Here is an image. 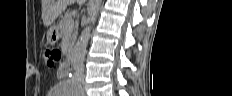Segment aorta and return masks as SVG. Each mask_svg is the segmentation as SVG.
Listing matches in <instances>:
<instances>
[{
	"label": "aorta",
	"mask_w": 232,
	"mask_h": 96,
	"mask_svg": "<svg viewBox=\"0 0 232 96\" xmlns=\"http://www.w3.org/2000/svg\"><path fill=\"white\" fill-rule=\"evenodd\" d=\"M100 3H101V0L94 1V4H93L92 9H91V13H90V21L91 22H93L95 20L96 13L98 12L99 7H100ZM90 30H91V26H88L82 31V33H81V35H80V37H79V39L74 47L72 61H73V67L75 70L80 69L83 65L86 47H87V43H88V40L90 37Z\"/></svg>",
	"instance_id": "obj_1"
}]
</instances>
